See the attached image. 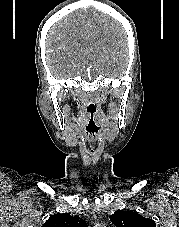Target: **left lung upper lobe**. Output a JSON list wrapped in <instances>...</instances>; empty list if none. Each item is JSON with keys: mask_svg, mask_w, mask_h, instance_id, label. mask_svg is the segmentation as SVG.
Returning <instances> with one entry per match:
<instances>
[{"mask_svg": "<svg viewBox=\"0 0 179 227\" xmlns=\"http://www.w3.org/2000/svg\"><path fill=\"white\" fill-rule=\"evenodd\" d=\"M110 220L116 227H156L154 220L133 211H116Z\"/></svg>", "mask_w": 179, "mask_h": 227, "instance_id": "obj_1", "label": "left lung upper lobe"}]
</instances>
